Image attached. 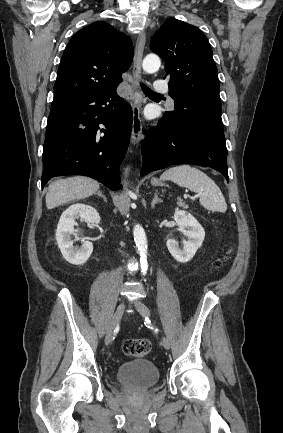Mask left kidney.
Here are the masks:
<instances>
[{
    "label": "left kidney",
    "mask_w": 283,
    "mask_h": 433,
    "mask_svg": "<svg viewBox=\"0 0 283 433\" xmlns=\"http://www.w3.org/2000/svg\"><path fill=\"white\" fill-rule=\"evenodd\" d=\"M174 220L179 227V231H181L187 239L183 241L182 248L179 247L175 239L167 240L166 245L170 254L176 261L186 263L194 257L198 248L201 247L205 238V231L200 223L190 213L184 210H176Z\"/></svg>",
    "instance_id": "obj_1"
}]
</instances>
